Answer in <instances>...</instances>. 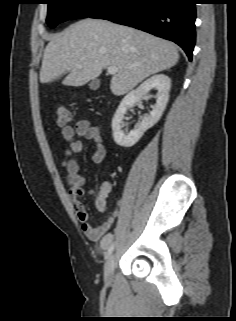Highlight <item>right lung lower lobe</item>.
<instances>
[{
	"label": "right lung lower lobe",
	"instance_id": "obj_1",
	"mask_svg": "<svg viewBox=\"0 0 236 321\" xmlns=\"http://www.w3.org/2000/svg\"><path fill=\"white\" fill-rule=\"evenodd\" d=\"M196 0H111L90 18L131 26L177 43L192 60Z\"/></svg>",
	"mask_w": 236,
	"mask_h": 321
}]
</instances>
